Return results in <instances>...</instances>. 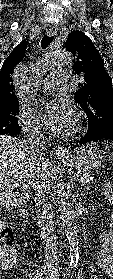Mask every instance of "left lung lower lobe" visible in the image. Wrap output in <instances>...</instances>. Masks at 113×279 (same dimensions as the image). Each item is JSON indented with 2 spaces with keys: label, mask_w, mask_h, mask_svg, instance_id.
Here are the masks:
<instances>
[{
  "label": "left lung lower lobe",
  "mask_w": 113,
  "mask_h": 279,
  "mask_svg": "<svg viewBox=\"0 0 113 279\" xmlns=\"http://www.w3.org/2000/svg\"><path fill=\"white\" fill-rule=\"evenodd\" d=\"M104 140H113V121H107L104 124V126L97 130H88L87 134L83 138H81L78 141V143L82 145L89 142H97Z\"/></svg>",
  "instance_id": "obj_1"
}]
</instances>
